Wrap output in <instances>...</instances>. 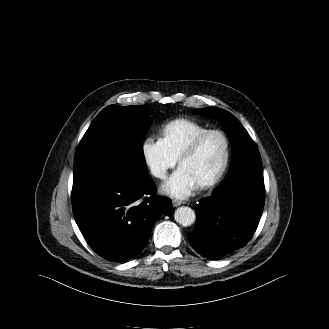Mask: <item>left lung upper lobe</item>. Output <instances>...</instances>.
I'll return each mask as SVG.
<instances>
[{
  "instance_id": "obj_1",
  "label": "left lung upper lobe",
  "mask_w": 329,
  "mask_h": 329,
  "mask_svg": "<svg viewBox=\"0 0 329 329\" xmlns=\"http://www.w3.org/2000/svg\"><path fill=\"white\" fill-rule=\"evenodd\" d=\"M193 114H201L207 117L219 118L222 121L231 144L233 146V158L229 168L228 174L231 172L233 166L238 162L252 161L261 162L260 154L255 142L248 135L247 131L240 124V122L231 113L220 108H203L197 109ZM220 187H218L213 196H220Z\"/></svg>"
}]
</instances>
